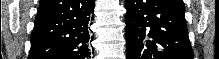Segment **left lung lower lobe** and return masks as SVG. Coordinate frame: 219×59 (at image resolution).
I'll list each match as a JSON object with an SVG mask.
<instances>
[{"label": "left lung lower lobe", "instance_id": "0a47b994", "mask_svg": "<svg viewBox=\"0 0 219 59\" xmlns=\"http://www.w3.org/2000/svg\"><path fill=\"white\" fill-rule=\"evenodd\" d=\"M127 59H193L182 0H126Z\"/></svg>", "mask_w": 219, "mask_h": 59}]
</instances>
